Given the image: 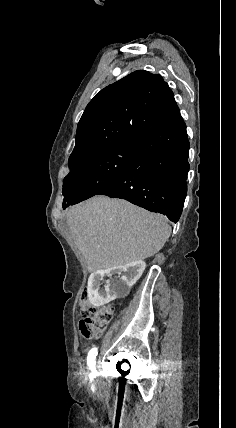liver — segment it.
<instances>
[{
	"mask_svg": "<svg viewBox=\"0 0 236 428\" xmlns=\"http://www.w3.org/2000/svg\"><path fill=\"white\" fill-rule=\"evenodd\" d=\"M66 218L88 272L150 258L162 250L171 234L161 214L107 196L72 206Z\"/></svg>",
	"mask_w": 236,
	"mask_h": 428,
	"instance_id": "6515ba94",
	"label": "liver"
}]
</instances>
